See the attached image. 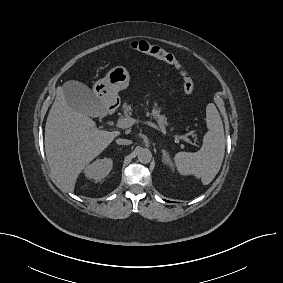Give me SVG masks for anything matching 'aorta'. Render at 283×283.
I'll return each instance as SVG.
<instances>
[{"label": "aorta", "instance_id": "obj_1", "mask_svg": "<svg viewBox=\"0 0 283 283\" xmlns=\"http://www.w3.org/2000/svg\"><path fill=\"white\" fill-rule=\"evenodd\" d=\"M151 158H152V154H151V151L148 149H142L138 153V160L141 163H144V164L149 163Z\"/></svg>", "mask_w": 283, "mask_h": 283}]
</instances>
